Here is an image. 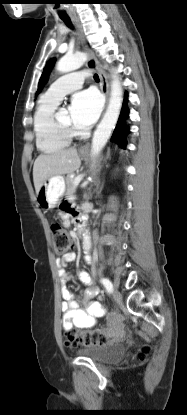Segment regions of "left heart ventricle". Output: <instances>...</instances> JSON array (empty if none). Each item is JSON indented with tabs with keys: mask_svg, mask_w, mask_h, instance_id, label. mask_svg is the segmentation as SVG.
Returning a JSON list of instances; mask_svg holds the SVG:
<instances>
[{
	"mask_svg": "<svg viewBox=\"0 0 187 415\" xmlns=\"http://www.w3.org/2000/svg\"><path fill=\"white\" fill-rule=\"evenodd\" d=\"M58 120H59L62 124H65V125H68V126H72V122H71L70 114H69V112H68V111H66V112H64V113H62V114H60V115L58 116Z\"/></svg>",
	"mask_w": 187,
	"mask_h": 415,
	"instance_id": "b2bd125f",
	"label": "left heart ventricle"
}]
</instances>
